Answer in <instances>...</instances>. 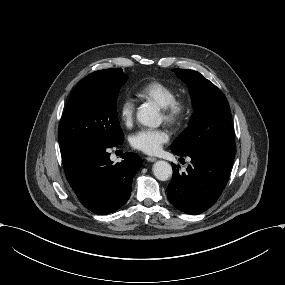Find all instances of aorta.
<instances>
[{
	"label": "aorta",
	"instance_id": "1",
	"mask_svg": "<svg viewBox=\"0 0 285 285\" xmlns=\"http://www.w3.org/2000/svg\"><path fill=\"white\" fill-rule=\"evenodd\" d=\"M137 120L148 127H158L161 123L159 111L155 106L145 105L137 112ZM153 173L158 180L166 181L172 176L171 165L163 160L157 161L153 165Z\"/></svg>",
	"mask_w": 285,
	"mask_h": 285
}]
</instances>
